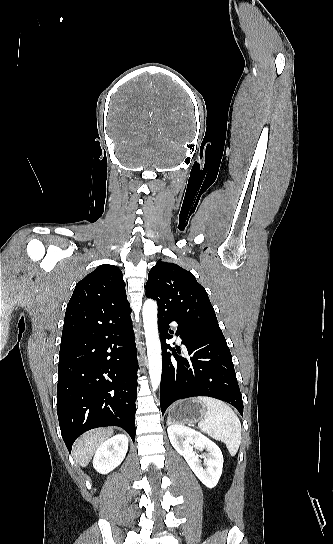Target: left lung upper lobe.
I'll return each mask as SVG.
<instances>
[{"mask_svg": "<svg viewBox=\"0 0 333 544\" xmlns=\"http://www.w3.org/2000/svg\"><path fill=\"white\" fill-rule=\"evenodd\" d=\"M146 296L179 323L222 334L206 290L182 267L159 260L148 274Z\"/></svg>", "mask_w": 333, "mask_h": 544, "instance_id": "left-lung-upper-lobe-1", "label": "left lung upper lobe"}]
</instances>
